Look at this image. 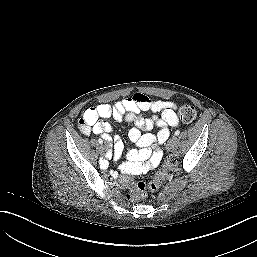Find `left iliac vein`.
I'll return each mask as SVG.
<instances>
[{"label": "left iliac vein", "instance_id": "4c4485c4", "mask_svg": "<svg viewBox=\"0 0 257 257\" xmlns=\"http://www.w3.org/2000/svg\"><path fill=\"white\" fill-rule=\"evenodd\" d=\"M178 143H179V139L178 137H173L171 138V140L168 142V147L171 149V150H174L176 149V147L178 146Z\"/></svg>", "mask_w": 257, "mask_h": 257}]
</instances>
